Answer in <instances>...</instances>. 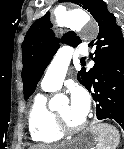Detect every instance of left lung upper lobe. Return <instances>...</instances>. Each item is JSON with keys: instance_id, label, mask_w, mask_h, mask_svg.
<instances>
[{"instance_id": "1", "label": "left lung upper lobe", "mask_w": 124, "mask_h": 149, "mask_svg": "<svg viewBox=\"0 0 124 149\" xmlns=\"http://www.w3.org/2000/svg\"><path fill=\"white\" fill-rule=\"evenodd\" d=\"M71 2L88 10L99 26L97 38L89 43L94 51L90 56L95 65L90 70L82 68L77 75L78 81L88 88L98 64L124 52V37L115 16L107 10L104 1L73 0ZM51 27L50 12H47L33 23L22 43V81L25 99L34 93L44 70L59 47V40L54 37ZM61 41L73 47L81 43V39L73 31L67 32Z\"/></svg>"}]
</instances>
